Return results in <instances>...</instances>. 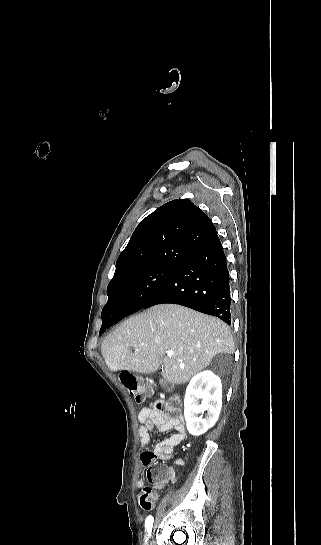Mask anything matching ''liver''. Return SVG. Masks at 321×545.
<instances>
[{
    "mask_svg": "<svg viewBox=\"0 0 321 545\" xmlns=\"http://www.w3.org/2000/svg\"><path fill=\"white\" fill-rule=\"evenodd\" d=\"M166 351L174 355L166 357ZM234 351L226 323L181 305H155L134 315L107 335L101 345L110 371L147 375L161 365L162 377L177 385L206 369L219 353L233 355Z\"/></svg>",
    "mask_w": 321,
    "mask_h": 545,
    "instance_id": "6515ba94",
    "label": "liver"
}]
</instances>
